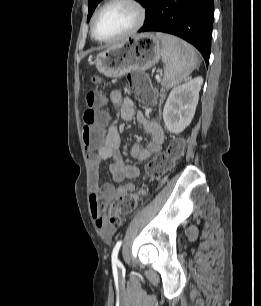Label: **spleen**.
Here are the masks:
<instances>
[{"label": "spleen", "mask_w": 261, "mask_h": 306, "mask_svg": "<svg viewBox=\"0 0 261 306\" xmlns=\"http://www.w3.org/2000/svg\"><path fill=\"white\" fill-rule=\"evenodd\" d=\"M156 36L162 44L163 86L169 89L188 79L197 65V57L193 47L185 41L160 32Z\"/></svg>", "instance_id": "obj_1"}]
</instances>
